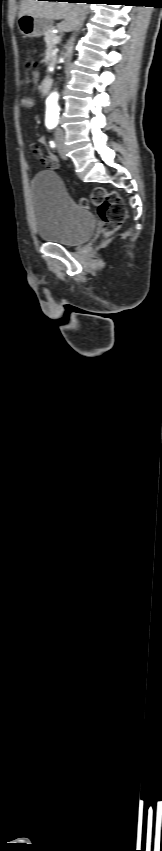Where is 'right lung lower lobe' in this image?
I'll return each instance as SVG.
<instances>
[{
	"mask_svg": "<svg viewBox=\"0 0 162 851\" xmlns=\"http://www.w3.org/2000/svg\"><path fill=\"white\" fill-rule=\"evenodd\" d=\"M49 1H60V0H49ZM64 1H67V2H77V3H79V2H85V3H88V4H90V3H98V2H99V0H64Z\"/></svg>",
	"mask_w": 162,
	"mask_h": 851,
	"instance_id": "98d812e1",
	"label": "right lung lower lobe"
}]
</instances>
